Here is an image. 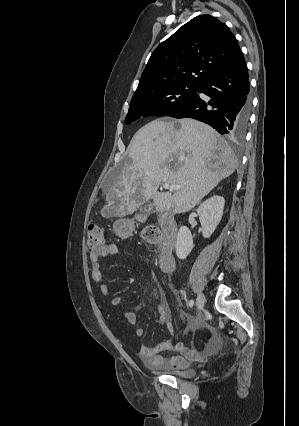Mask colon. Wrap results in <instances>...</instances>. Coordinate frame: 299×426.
Listing matches in <instances>:
<instances>
[{"mask_svg": "<svg viewBox=\"0 0 299 426\" xmlns=\"http://www.w3.org/2000/svg\"><path fill=\"white\" fill-rule=\"evenodd\" d=\"M142 239L149 244H156L161 240V233L156 226H147L141 232ZM106 244L103 229L98 225H90L87 230V247L90 253Z\"/></svg>", "mask_w": 299, "mask_h": 426, "instance_id": "obj_1", "label": "colon"}]
</instances>
